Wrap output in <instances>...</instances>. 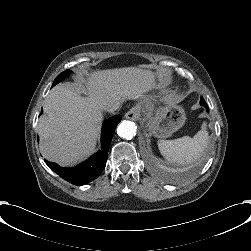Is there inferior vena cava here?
Returning <instances> with one entry per match:
<instances>
[{
    "mask_svg": "<svg viewBox=\"0 0 251 251\" xmlns=\"http://www.w3.org/2000/svg\"><path fill=\"white\" fill-rule=\"evenodd\" d=\"M120 109H121V104L119 102H113L106 106L105 111L114 113L115 111H118Z\"/></svg>",
    "mask_w": 251,
    "mask_h": 251,
    "instance_id": "inferior-vena-cava-1",
    "label": "inferior vena cava"
}]
</instances>
